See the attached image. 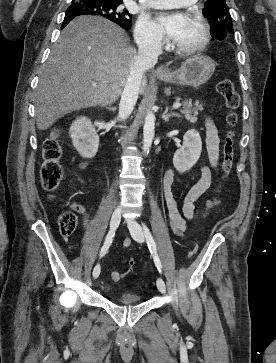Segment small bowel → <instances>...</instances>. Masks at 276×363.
<instances>
[{
    "instance_id": "small-bowel-1",
    "label": "small bowel",
    "mask_w": 276,
    "mask_h": 363,
    "mask_svg": "<svg viewBox=\"0 0 276 363\" xmlns=\"http://www.w3.org/2000/svg\"><path fill=\"white\" fill-rule=\"evenodd\" d=\"M206 129V148L210 161V166H201L200 179L189 189L186 193L181 206L179 207L178 202L172 190L174 182V171L168 169L163 176V193L165 198V208L171 230L178 237H185L186 233L190 228V221L196 219L199 216V209L195 203L199 197L207 191L210 187L213 174L217 171L219 162V134L217 126L214 121L207 117L205 119ZM88 165L87 161L79 162L81 169L86 168ZM73 209L82 216L83 229L86 232L89 228V216L86 208L81 204H73ZM131 244L130 238H125L121 243V247H128ZM124 274L113 271L108 274V277L112 281H118Z\"/></svg>"
}]
</instances>
